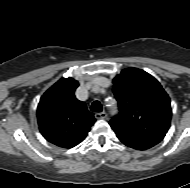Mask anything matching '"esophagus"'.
<instances>
[{"label":"esophagus","mask_w":190,"mask_h":188,"mask_svg":"<svg viewBox=\"0 0 190 188\" xmlns=\"http://www.w3.org/2000/svg\"><path fill=\"white\" fill-rule=\"evenodd\" d=\"M95 118L96 119H106L107 118V114H106V112H100V113H96L95 114Z\"/></svg>","instance_id":"1"}]
</instances>
